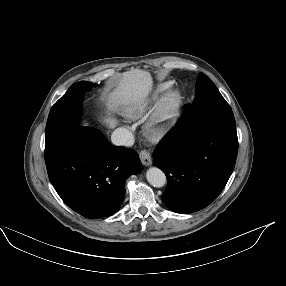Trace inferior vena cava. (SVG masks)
Segmentation results:
<instances>
[{"mask_svg":"<svg viewBox=\"0 0 286 286\" xmlns=\"http://www.w3.org/2000/svg\"><path fill=\"white\" fill-rule=\"evenodd\" d=\"M111 141L117 146H132L134 143V136L128 129L118 128L112 133Z\"/></svg>","mask_w":286,"mask_h":286,"instance_id":"obj_1","label":"inferior vena cava"}]
</instances>
